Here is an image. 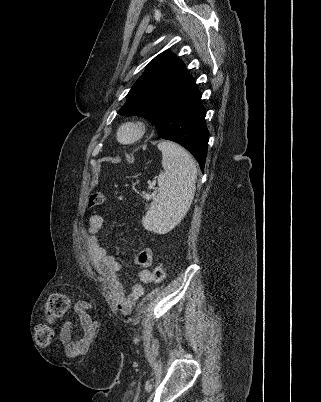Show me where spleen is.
Listing matches in <instances>:
<instances>
[{
    "label": "spleen",
    "mask_w": 321,
    "mask_h": 402,
    "mask_svg": "<svg viewBox=\"0 0 321 402\" xmlns=\"http://www.w3.org/2000/svg\"><path fill=\"white\" fill-rule=\"evenodd\" d=\"M163 172L158 177V194L142 224L148 231L166 233L181 221L195 194L197 168L191 155L181 146L161 141Z\"/></svg>",
    "instance_id": "1"
}]
</instances>
